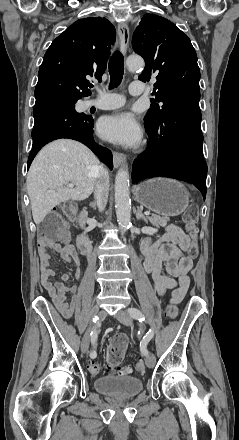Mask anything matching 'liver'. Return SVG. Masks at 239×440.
Segmentation results:
<instances>
[{
	"instance_id": "6515ba94",
	"label": "liver",
	"mask_w": 239,
	"mask_h": 440,
	"mask_svg": "<svg viewBox=\"0 0 239 440\" xmlns=\"http://www.w3.org/2000/svg\"><path fill=\"white\" fill-rule=\"evenodd\" d=\"M99 160L74 140H55L34 158L27 174L33 220L38 226L52 208L67 200H86L97 178ZM65 182L76 188H65Z\"/></svg>"
}]
</instances>
